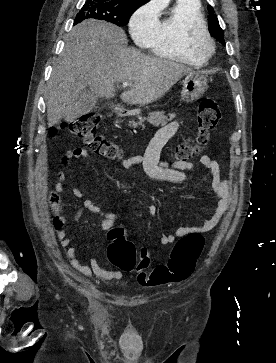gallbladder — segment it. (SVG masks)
<instances>
[{"mask_svg":"<svg viewBox=\"0 0 276 363\" xmlns=\"http://www.w3.org/2000/svg\"><path fill=\"white\" fill-rule=\"evenodd\" d=\"M98 103V98L93 96L89 90H84L75 101L72 112L67 115L69 121L75 120L90 111H92Z\"/></svg>","mask_w":276,"mask_h":363,"instance_id":"obj_1","label":"gallbladder"}]
</instances>
